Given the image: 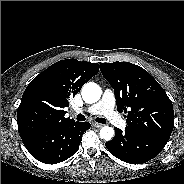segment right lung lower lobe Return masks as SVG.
Listing matches in <instances>:
<instances>
[{"instance_id":"98d812e1","label":"right lung lower lobe","mask_w":184,"mask_h":184,"mask_svg":"<svg viewBox=\"0 0 184 184\" xmlns=\"http://www.w3.org/2000/svg\"><path fill=\"white\" fill-rule=\"evenodd\" d=\"M91 127L89 122L72 121L62 127L51 128L22 139L29 153L38 161L56 164L73 156L83 133Z\"/></svg>"}]
</instances>
